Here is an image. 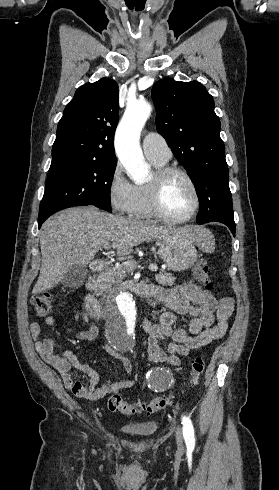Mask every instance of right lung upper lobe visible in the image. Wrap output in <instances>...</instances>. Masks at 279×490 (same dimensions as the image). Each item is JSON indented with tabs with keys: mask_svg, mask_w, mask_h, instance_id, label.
Instances as JSON below:
<instances>
[{
	"mask_svg": "<svg viewBox=\"0 0 279 490\" xmlns=\"http://www.w3.org/2000/svg\"><path fill=\"white\" fill-rule=\"evenodd\" d=\"M118 103V85L110 78L79 87L58 123L51 164L116 158L113 137Z\"/></svg>",
	"mask_w": 279,
	"mask_h": 490,
	"instance_id": "1",
	"label": "right lung upper lobe"
}]
</instances>
